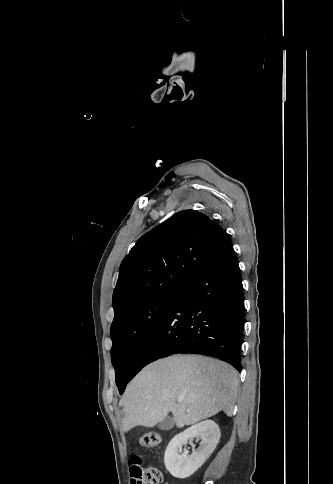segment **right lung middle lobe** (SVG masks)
Wrapping results in <instances>:
<instances>
[{
  "instance_id": "dd1d6c3e",
  "label": "right lung middle lobe",
  "mask_w": 333,
  "mask_h": 484,
  "mask_svg": "<svg viewBox=\"0 0 333 484\" xmlns=\"http://www.w3.org/2000/svg\"><path fill=\"white\" fill-rule=\"evenodd\" d=\"M178 293L179 290H170L154 296L131 308L112 322L111 359L120 394L124 392L129 382L141 346L165 316Z\"/></svg>"
}]
</instances>
